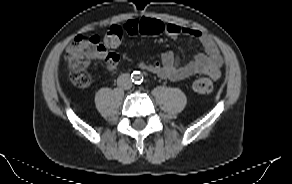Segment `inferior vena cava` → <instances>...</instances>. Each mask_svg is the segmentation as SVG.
Returning <instances> with one entry per match:
<instances>
[{
    "instance_id": "obj_1",
    "label": "inferior vena cava",
    "mask_w": 292,
    "mask_h": 184,
    "mask_svg": "<svg viewBox=\"0 0 292 184\" xmlns=\"http://www.w3.org/2000/svg\"><path fill=\"white\" fill-rule=\"evenodd\" d=\"M117 85L125 90L132 87V81L129 74H122L117 79Z\"/></svg>"
}]
</instances>
